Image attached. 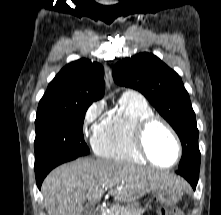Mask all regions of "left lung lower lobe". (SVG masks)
I'll use <instances>...</instances> for the list:
<instances>
[{
  "label": "left lung lower lobe",
  "instance_id": "left-lung-lower-lobe-1",
  "mask_svg": "<svg viewBox=\"0 0 221 215\" xmlns=\"http://www.w3.org/2000/svg\"><path fill=\"white\" fill-rule=\"evenodd\" d=\"M177 174L183 176L192 185L193 189L195 190L198 182L199 172L177 170Z\"/></svg>",
  "mask_w": 221,
  "mask_h": 215
}]
</instances>
